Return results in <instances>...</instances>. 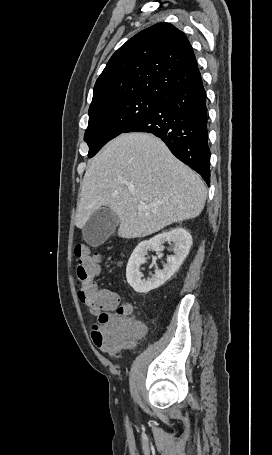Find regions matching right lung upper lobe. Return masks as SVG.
<instances>
[{
	"label": "right lung upper lobe",
	"mask_w": 272,
	"mask_h": 455,
	"mask_svg": "<svg viewBox=\"0 0 272 455\" xmlns=\"http://www.w3.org/2000/svg\"><path fill=\"white\" fill-rule=\"evenodd\" d=\"M200 77L185 34L170 23H158L112 55L96 81L89 109L133 96L165 98Z\"/></svg>",
	"instance_id": "1"
}]
</instances>
